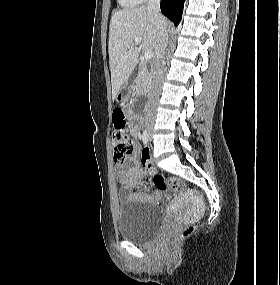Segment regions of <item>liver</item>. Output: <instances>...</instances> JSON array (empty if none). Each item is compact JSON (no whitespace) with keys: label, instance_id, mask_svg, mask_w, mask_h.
<instances>
[{"label":"liver","instance_id":"1","mask_svg":"<svg viewBox=\"0 0 280 285\" xmlns=\"http://www.w3.org/2000/svg\"><path fill=\"white\" fill-rule=\"evenodd\" d=\"M163 20V26L168 31L170 23L164 17ZM136 37H141L143 40L140 48L134 44ZM157 39L158 29L154 12L146 7L128 8L112 15L108 52L113 100L135 69L140 49L146 52L153 51Z\"/></svg>","mask_w":280,"mask_h":285}]
</instances>
